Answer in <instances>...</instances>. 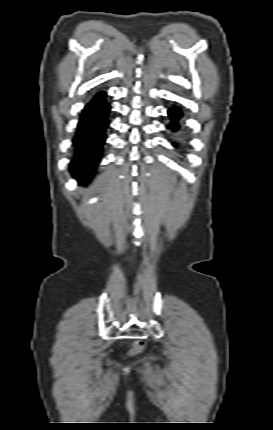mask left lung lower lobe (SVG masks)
Wrapping results in <instances>:
<instances>
[{"label": "left lung lower lobe", "instance_id": "0a47b994", "mask_svg": "<svg viewBox=\"0 0 273 430\" xmlns=\"http://www.w3.org/2000/svg\"><path fill=\"white\" fill-rule=\"evenodd\" d=\"M168 115L172 119V123L169 125V128L173 130V132L180 131V125L178 120L182 117V113L178 107H173L168 110ZM175 147L178 146L177 143H173Z\"/></svg>", "mask_w": 273, "mask_h": 430}]
</instances>
